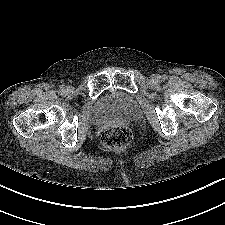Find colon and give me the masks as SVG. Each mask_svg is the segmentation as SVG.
I'll return each mask as SVG.
<instances>
[{
	"label": "colon",
	"mask_w": 225,
	"mask_h": 225,
	"mask_svg": "<svg viewBox=\"0 0 225 225\" xmlns=\"http://www.w3.org/2000/svg\"><path fill=\"white\" fill-rule=\"evenodd\" d=\"M132 131L123 125L108 128L102 135L101 143L106 149H119L131 143Z\"/></svg>",
	"instance_id": "1"
}]
</instances>
